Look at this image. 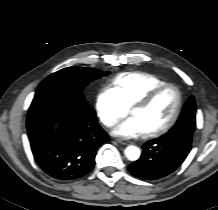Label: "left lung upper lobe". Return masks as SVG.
I'll return each instance as SVG.
<instances>
[{"mask_svg": "<svg viewBox=\"0 0 218 210\" xmlns=\"http://www.w3.org/2000/svg\"><path fill=\"white\" fill-rule=\"evenodd\" d=\"M195 116L196 104L194 97L191 96L186 102L176 125L163 136L167 138H176L177 136H180L181 133H185V131H187L192 137L195 127Z\"/></svg>", "mask_w": 218, "mask_h": 210, "instance_id": "obj_1", "label": "left lung upper lobe"}]
</instances>
